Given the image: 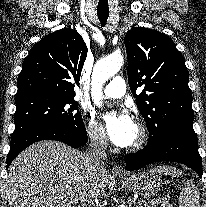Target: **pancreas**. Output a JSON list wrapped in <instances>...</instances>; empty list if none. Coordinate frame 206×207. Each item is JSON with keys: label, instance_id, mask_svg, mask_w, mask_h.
Listing matches in <instances>:
<instances>
[{"label": "pancreas", "instance_id": "1", "mask_svg": "<svg viewBox=\"0 0 206 207\" xmlns=\"http://www.w3.org/2000/svg\"><path fill=\"white\" fill-rule=\"evenodd\" d=\"M160 203L161 201L159 200H151L149 202L139 201L136 207H157Z\"/></svg>", "mask_w": 206, "mask_h": 207}]
</instances>
